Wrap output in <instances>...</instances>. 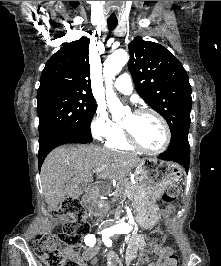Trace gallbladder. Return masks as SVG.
<instances>
[{
  "instance_id": "bac80fb5",
  "label": "gallbladder",
  "mask_w": 221,
  "mask_h": 266,
  "mask_svg": "<svg viewBox=\"0 0 221 266\" xmlns=\"http://www.w3.org/2000/svg\"><path fill=\"white\" fill-rule=\"evenodd\" d=\"M85 190V186L84 185H78L77 188L70 190L67 193V198L72 197V198H76L79 197Z\"/></svg>"
}]
</instances>
